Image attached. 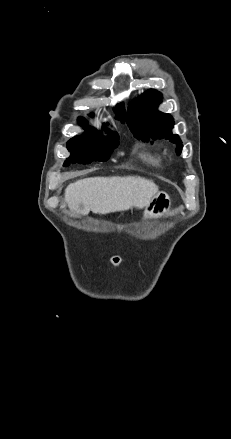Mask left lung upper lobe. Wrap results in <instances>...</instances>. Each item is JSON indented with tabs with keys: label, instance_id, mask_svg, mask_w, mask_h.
Returning <instances> with one entry per match:
<instances>
[{
	"label": "left lung upper lobe",
	"instance_id": "5c2ea615",
	"mask_svg": "<svg viewBox=\"0 0 231 439\" xmlns=\"http://www.w3.org/2000/svg\"><path fill=\"white\" fill-rule=\"evenodd\" d=\"M162 95L156 90H148L141 95L135 107L129 108L127 123L134 136L143 141L149 138L168 139L177 146V154L181 153L183 145L178 135L172 134L174 126L172 116L157 110Z\"/></svg>",
	"mask_w": 231,
	"mask_h": 439
}]
</instances>
